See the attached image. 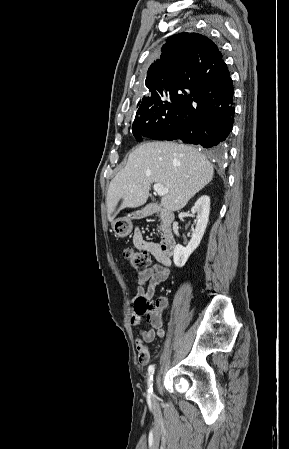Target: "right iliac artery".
Masks as SVG:
<instances>
[{"label": "right iliac artery", "mask_w": 289, "mask_h": 449, "mask_svg": "<svg viewBox=\"0 0 289 449\" xmlns=\"http://www.w3.org/2000/svg\"><path fill=\"white\" fill-rule=\"evenodd\" d=\"M154 371H155L154 365H150V366L148 367V375H149V378H148V397H149V398H150L151 395L153 394L152 381H153V374H154Z\"/></svg>", "instance_id": "obj_1"}]
</instances>
